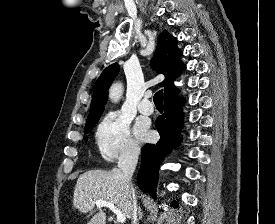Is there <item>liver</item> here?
<instances>
[{
	"mask_svg": "<svg viewBox=\"0 0 275 224\" xmlns=\"http://www.w3.org/2000/svg\"><path fill=\"white\" fill-rule=\"evenodd\" d=\"M97 200L113 203L126 218L131 219L129 192L120 169L90 170L79 176L73 194L74 208L81 213L90 212ZM87 224H106V214L101 207Z\"/></svg>",
	"mask_w": 275,
	"mask_h": 224,
	"instance_id": "1",
	"label": "liver"
}]
</instances>
